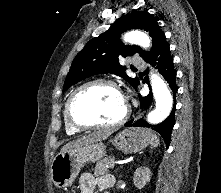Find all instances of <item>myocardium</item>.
I'll use <instances>...</instances> for the list:
<instances>
[{"label": "myocardium", "instance_id": "obj_1", "mask_svg": "<svg viewBox=\"0 0 221 193\" xmlns=\"http://www.w3.org/2000/svg\"><path fill=\"white\" fill-rule=\"evenodd\" d=\"M95 85H102V86H108L111 87L113 89H115L116 91H118L121 94V90L118 86V84L112 80H108V79H102V78H98V79H93L90 81H87L83 84H81L78 88H76L74 90V92L70 95L69 99L67 100L66 103V117L69 121V123L79 129V130H91V129H109V128H116L121 126L122 124H124L129 115H130V107L129 105L126 103V108L125 111L123 113V115L117 119L116 121L113 122H108V123H92V124H83L78 122L72 113V106L73 103L76 99V97L79 95L80 92H82L84 89L91 87V86H95Z\"/></svg>", "mask_w": 221, "mask_h": 193}]
</instances>
